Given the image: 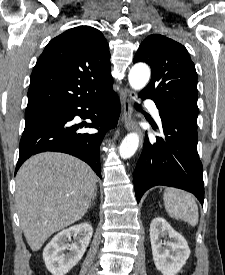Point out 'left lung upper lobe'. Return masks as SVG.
<instances>
[{
    "label": "left lung upper lobe",
    "instance_id": "obj_1",
    "mask_svg": "<svg viewBox=\"0 0 225 275\" xmlns=\"http://www.w3.org/2000/svg\"><path fill=\"white\" fill-rule=\"evenodd\" d=\"M151 66V81L139 95L152 99L159 110H167L197 121V73L186 48L158 34L148 36L133 62Z\"/></svg>",
    "mask_w": 225,
    "mask_h": 275
}]
</instances>
